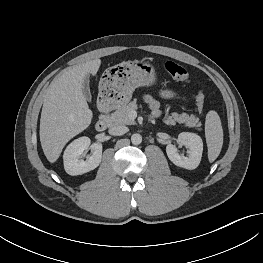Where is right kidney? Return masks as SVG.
<instances>
[{
  "label": "right kidney",
  "instance_id": "1",
  "mask_svg": "<svg viewBox=\"0 0 263 263\" xmlns=\"http://www.w3.org/2000/svg\"><path fill=\"white\" fill-rule=\"evenodd\" d=\"M88 137H81L71 142L63 155L65 171L72 176L81 175L97 168L102 158V144L94 143ZM91 148L92 155L81 160L84 150Z\"/></svg>",
  "mask_w": 263,
  "mask_h": 263
}]
</instances>
